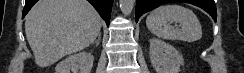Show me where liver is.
<instances>
[{"mask_svg":"<svg viewBox=\"0 0 244 73\" xmlns=\"http://www.w3.org/2000/svg\"><path fill=\"white\" fill-rule=\"evenodd\" d=\"M101 25V17L86 0H39L25 17L26 37L40 67L88 47Z\"/></svg>","mask_w":244,"mask_h":73,"instance_id":"liver-1","label":"liver"}]
</instances>
